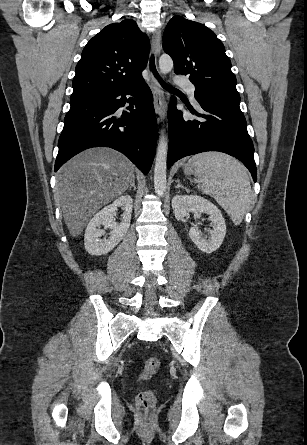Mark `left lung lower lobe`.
Listing matches in <instances>:
<instances>
[{
	"label": "left lung lower lobe",
	"mask_w": 307,
	"mask_h": 445,
	"mask_svg": "<svg viewBox=\"0 0 307 445\" xmlns=\"http://www.w3.org/2000/svg\"><path fill=\"white\" fill-rule=\"evenodd\" d=\"M205 111L197 113L205 119L189 120L175 108L176 99L172 98L168 109L169 149L167 167L182 157L205 152L220 151L239 159L251 172L254 181L257 170L254 161V147L250 139L246 120L240 108L198 101Z\"/></svg>",
	"instance_id": "0a47b994"
}]
</instances>
